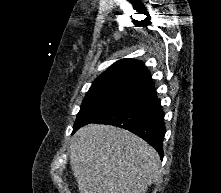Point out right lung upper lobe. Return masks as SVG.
<instances>
[{"label": "right lung upper lobe", "instance_id": "obj_1", "mask_svg": "<svg viewBox=\"0 0 221 193\" xmlns=\"http://www.w3.org/2000/svg\"><path fill=\"white\" fill-rule=\"evenodd\" d=\"M109 84H129L147 88L153 81L145 65L138 60L121 59L101 74L92 84L97 88Z\"/></svg>", "mask_w": 221, "mask_h": 193}]
</instances>
